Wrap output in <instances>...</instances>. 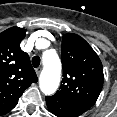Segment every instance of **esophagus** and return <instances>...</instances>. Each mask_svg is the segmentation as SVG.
Listing matches in <instances>:
<instances>
[{
  "instance_id": "1",
  "label": "esophagus",
  "mask_w": 117,
  "mask_h": 117,
  "mask_svg": "<svg viewBox=\"0 0 117 117\" xmlns=\"http://www.w3.org/2000/svg\"><path fill=\"white\" fill-rule=\"evenodd\" d=\"M41 70H42V68H41V67H39V68H37V69H36V73H37V75H40Z\"/></svg>"
}]
</instances>
